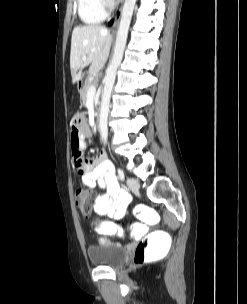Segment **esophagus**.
Here are the masks:
<instances>
[{
    "mask_svg": "<svg viewBox=\"0 0 247 304\" xmlns=\"http://www.w3.org/2000/svg\"><path fill=\"white\" fill-rule=\"evenodd\" d=\"M121 12H122V7L119 9V11L116 13V15L114 17V20H113V23H112V26H111L112 34H116V32H117L118 22H119V19H120V16H121Z\"/></svg>",
    "mask_w": 247,
    "mask_h": 304,
    "instance_id": "1",
    "label": "esophagus"
}]
</instances>
